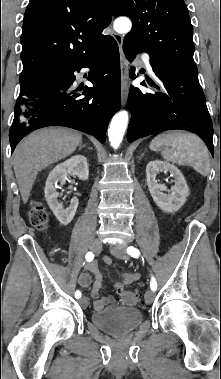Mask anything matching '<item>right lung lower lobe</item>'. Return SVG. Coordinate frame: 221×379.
I'll use <instances>...</instances> for the list:
<instances>
[{
  "mask_svg": "<svg viewBox=\"0 0 221 379\" xmlns=\"http://www.w3.org/2000/svg\"><path fill=\"white\" fill-rule=\"evenodd\" d=\"M84 67L91 69L88 80L93 87L72 90L74 72ZM20 83L10 129L11 152L24 136L46 126L74 128L104 143L109 120L121 105L118 45L110 36L90 55L53 66Z\"/></svg>",
  "mask_w": 221,
  "mask_h": 379,
  "instance_id": "98d812e1",
  "label": "right lung lower lobe"
}]
</instances>
